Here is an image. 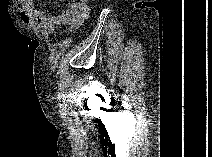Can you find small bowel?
I'll return each instance as SVG.
<instances>
[{
	"mask_svg": "<svg viewBox=\"0 0 212 157\" xmlns=\"http://www.w3.org/2000/svg\"><path fill=\"white\" fill-rule=\"evenodd\" d=\"M18 13L20 20L26 25H38L41 32L48 38L59 25L71 28L80 25L89 14L88 7L82 2L71 3L57 15L44 8H36L27 0H19Z\"/></svg>",
	"mask_w": 212,
	"mask_h": 157,
	"instance_id": "1",
	"label": "small bowel"
}]
</instances>
